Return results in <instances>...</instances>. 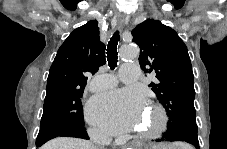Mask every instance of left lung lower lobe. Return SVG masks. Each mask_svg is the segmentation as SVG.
<instances>
[{
	"label": "left lung lower lobe",
	"mask_w": 227,
	"mask_h": 149,
	"mask_svg": "<svg viewBox=\"0 0 227 149\" xmlns=\"http://www.w3.org/2000/svg\"><path fill=\"white\" fill-rule=\"evenodd\" d=\"M197 128L195 122L175 121L168 123V130L157 141H185L200 149Z\"/></svg>",
	"instance_id": "obj_1"
}]
</instances>
